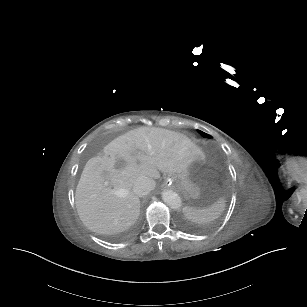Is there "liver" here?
Instances as JSON below:
<instances>
[{
  "label": "liver",
  "mask_w": 307,
  "mask_h": 307,
  "mask_svg": "<svg viewBox=\"0 0 307 307\" xmlns=\"http://www.w3.org/2000/svg\"><path fill=\"white\" fill-rule=\"evenodd\" d=\"M199 152L185 134L160 127L141 126L118 136L82 171L75 192L80 220L98 234L125 231L140 214V199L133 192L136 179L145 176L156 185L160 172L187 169Z\"/></svg>",
  "instance_id": "6515ba94"
}]
</instances>
